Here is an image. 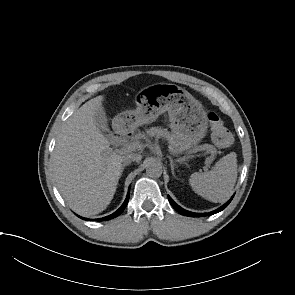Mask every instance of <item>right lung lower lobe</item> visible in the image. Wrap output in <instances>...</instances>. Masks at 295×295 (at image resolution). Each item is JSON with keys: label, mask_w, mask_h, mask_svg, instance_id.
Instances as JSON below:
<instances>
[{"label": "right lung lower lobe", "mask_w": 295, "mask_h": 295, "mask_svg": "<svg viewBox=\"0 0 295 295\" xmlns=\"http://www.w3.org/2000/svg\"><path fill=\"white\" fill-rule=\"evenodd\" d=\"M129 195H130V192H128L127 197H126V200L123 203V205L116 212H114L113 214H111L109 216L96 219V221H106V220L113 219V218L117 217L118 215H120L123 212V210L125 209V207L127 206V204H128ZM80 218L83 219V220H87L86 218H83V217H80Z\"/></svg>", "instance_id": "1"}]
</instances>
